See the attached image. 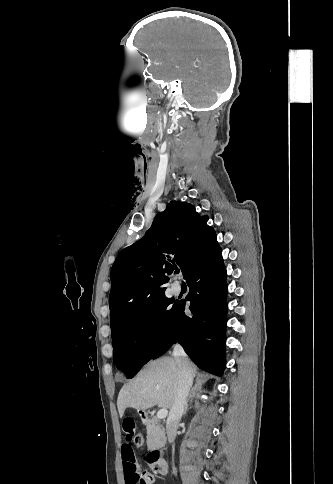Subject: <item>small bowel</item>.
I'll list each match as a JSON object with an SVG mask.
<instances>
[{
    "label": "small bowel",
    "instance_id": "1",
    "mask_svg": "<svg viewBox=\"0 0 333 484\" xmlns=\"http://www.w3.org/2000/svg\"><path fill=\"white\" fill-rule=\"evenodd\" d=\"M125 443L122 445V467L126 484H153L154 477L147 471H142L136 459L131 441L136 433V422L131 416H126L122 422Z\"/></svg>",
    "mask_w": 333,
    "mask_h": 484
}]
</instances>
